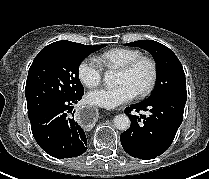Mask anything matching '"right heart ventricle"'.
<instances>
[{
  "mask_svg": "<svg viewBox=\"0 0 209 179\" xmlns=\"http://www.w3.org/2000/svg\"><path fill=\"white\" fill-rule=\"evenodd\" d=\"M142 56L141 51L133 48H112L96 57L101 67L107 70L120 69L132 60Z\"/></svg>",
  "mask_w": 209,
  "mask_h": 179,
  "instance_id": "right-heart-ventricle-1",
  "label": "right heart ventricle"
}]
</instances>
